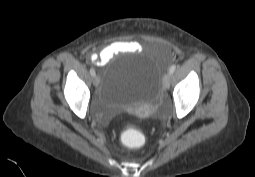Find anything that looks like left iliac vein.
<instances>
[{
    "mask_svg": "<svg viewBox=\"0 0 255 177\" xmlns=\"http://www.w3.org/2000/svg\"><path fill=\"white\" fill-rule=\"evenodd\" d=\"M170 81H171V74L170 73H167L165 76H164V79H163V88L165 90L169 89L170 87Z\"/></svg>",
    "mask_w": 255,
    "mask_h": 177,
    "instance_id": "4c4485c4",
    "label": "left iliac vein"
}]
</instances>
